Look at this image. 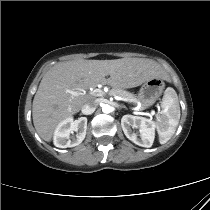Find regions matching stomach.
Instances as JSON below:
<instances>
[{
    "instance_id": "1",
    "label": "stomach",
    "mask_w": 210,
    "mask_h": 210,
    "mask_svg": "<svg viewBox=\"0 0 210 210\" xmlns=\"http://www.w3.org/2000/svg\"><path fill=\"white\" fill-rule=\"evenodd\" d=\"M164 89V82L160 78H153L145 81L140 88L137 101L142 108L153 105L159 99Z\"/></svg>"
}]
</instances>
